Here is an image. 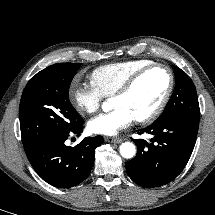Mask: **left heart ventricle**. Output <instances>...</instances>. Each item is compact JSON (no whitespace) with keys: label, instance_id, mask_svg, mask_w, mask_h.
Returning <instances> with one entry per match:
<instances>
[{"label":"left heart ventricle","instance_id":"1","mask_svg":"<svg viewBox=\"0 0 215 215\" xmlns=\"http://www.w3.org/2000/svg\"><path fill=\"white\" fill-rule=\"evenodd\" d=\"M169 84V75L162 68L154 69L144 75L130 93L115 97L114 108L128 109L134 118L152 112L163 98Z\"/></svg>","mask_w":215,"mask_h":215}]
</instances>
